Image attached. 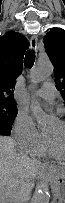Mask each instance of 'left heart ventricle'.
<instances>
[{
  "label": "left heart ventricle",
  "mask_w": 65,
  "mask_h": 203,
  "mask_svg": "<svg viewBox=\"0 0 65 203\" xmlns=\"http://www.w3.org/2000/svg\"><path fill=\"white\" fill-rule=\"evenodd\" d=\"M45 136L48 137L59 152L65 149V127L61 122L54 124L46 130Z\"/></svg>",
  "instance_id": "obj_1"
}]
</instances>
